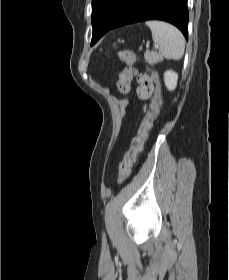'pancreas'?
<instances>
[{"label": "pancreas", "mask_w": 229, "mask_h": 280, "mask_svg": "<svg viewBox=\"0 0 229 280\" xmlns=\"http://www.w3.org/2000/svg\"><path fill=\"white\" fill-rule=\"evenodd\" d=\"M145 60L150 64L153 65L159 61H161V56L155 51L147 50L144 54Z\"/></svg>", "instance_id": "1"}]
</instances>
